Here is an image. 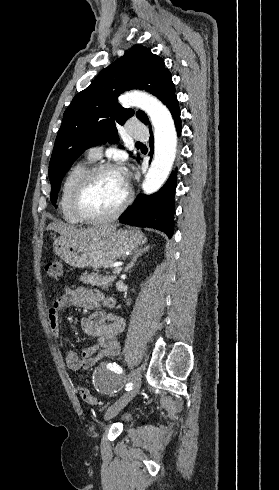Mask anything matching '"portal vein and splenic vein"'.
I'll list each match as a JSON object with an SVG mask.
<instances>
[{"instance_id": "portal-vein-and-splenic-vein-1", "label": "portal vein and splenic vein", "mask_w": 279, "mask_h": 490, "mask_svg": "<svg viewBox=\"0 0 279 490\" xmlns=\"http://www.w3.org/2000/svg\"><path fill=\"white\" fill-rule=\"evenodd\" d=\"M120 272H122V268H120V266H116V268H114V274H120Z\"/></svg>"}]
</instances>
